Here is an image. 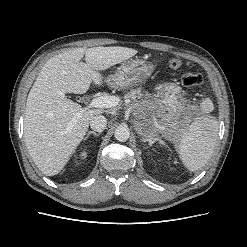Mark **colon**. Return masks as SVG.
I'll return each instance as SVG.
<instances>
[{
	"label": "colon",
	"mask_w": 247,
	"mask_h": 247,
	"mask_svg": "<svg viewBox=\"0 0 247 247\" xmlns=\"http://www.w3.org/2000/svg\"><path fill=\"white\" fill-rule=\"evenodd\" d=\"M168 68L172 74H179L191 68V63L180 58H172L168 61ZM201 82L202 76L199 73L185 72L182 75V83L185 87H194Z\"/></svg>",
	"instance_id": "colon-1"
}]
</instances>
